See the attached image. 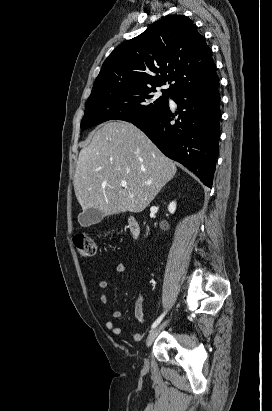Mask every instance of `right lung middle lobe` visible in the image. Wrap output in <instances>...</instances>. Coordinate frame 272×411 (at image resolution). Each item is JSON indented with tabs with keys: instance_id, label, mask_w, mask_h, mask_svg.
I'll use <instances>...</instances> for the list:
<instances>
[{
	"instance_id": "dd1d6c3e",
	"label": "right lung middle lobe",
	"mask_w": 272,
	"mask_h": 411,
	"mask_svg": "<svg viewBox=\"0 0 272 411\" xmlns=\"http://www.w3.org/2000/svg\"><path fill=\"white\" fill-rule=\"evenodd\" d=\"M160 97L156 87L124 86L91 92L85 105L81 130L108 120L134 122L147 119L168 105V90Z\"/></svg>"
}]
</instances>
